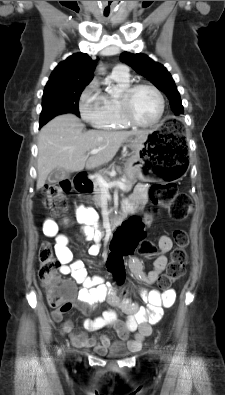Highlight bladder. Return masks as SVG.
<instances>
[{"label":"bladder","mask_w":225,"mask_h":395,"mask_svg":"<svg viewBox=\"0 0 225 395\" xmlns=\"http://www.w3.org/2000/svg\"><path fill=\"white\" fill-rule=\"evenodd\" d=\"M126 352H127V348H126L125 344L121 341L114 342L107 350V354L109 356H113V357L122 356Z\"/></svg>","instance_id":"obj_1"}]
</instances>
